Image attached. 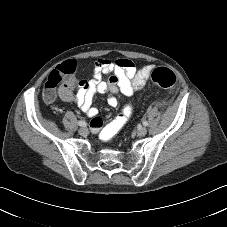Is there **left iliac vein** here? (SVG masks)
I'll use <instances>...</instances> for the list:
<instances>
[{
  "mask_svg": "<svg viewBox=\"0 0 227 227\" xmlns=\"http://www.w3.org/2000/svg\"><path fill=\"white\" fill-rule=\"evenodd\" d=\"M137 134L139 136H144L147 134V129L145 127H138L137 128Z\"/></svg>",
  "mask_w": 227,
  "mask_h": 227,
  "instance_id": "left-iliac-vein-1",
  "label": "left iliac vein"
}]
</instances>
